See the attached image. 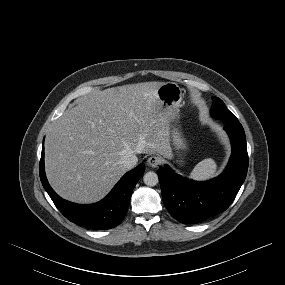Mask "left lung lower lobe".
Masks as SVG:
<instances>
[{
  "instance_id": "1",
  "label": "left lung lower lobe",
  "mask_w": 285,
  "mask_h": 285,
  "mask_svg": "<svg viewBox=\"0 0 285 285\" xmlns=\"http://www.w3.org/2000/svg\"><path fill=\"white\" fill-rule=\"evenodd\" d=\"M232 143V155L218 177L197 182L160 167L158 177L164 204L170 214L184 224H196L225 211L235 199L248 170L246 137L242 125L225 122Z\"/></svg>"
}]
</instances>
